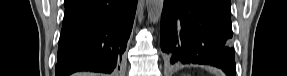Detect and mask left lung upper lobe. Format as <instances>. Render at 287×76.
Instances as JSON below:
<instances>
[{
  "instance_id": "1",
  "label": "left lung upper lobe",
  "mask_w": 287,
  "mask_h": 76,
  "mask_svg": "<svg viewBox=\"0 0 287 76\" xmlns=\"http://www.w3.org/2000/svg\"><path fill=\"white\" fill-rule=\"evenodd\" d=\"M209 1L214 7L230 15V0H209Z\"/></svg>"
}]
</instances>
